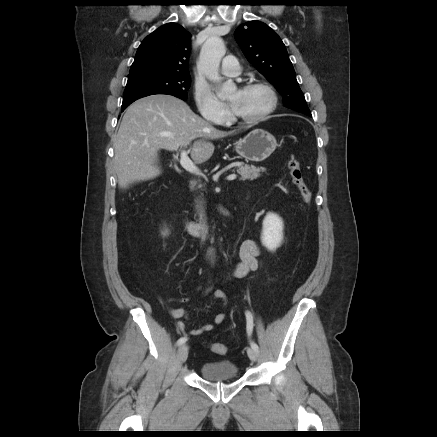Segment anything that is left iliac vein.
Masks as SVG:
<instances>
[{
  "instance_id": "obj_1",
  "label": "left iliac vein",
  "mask_w": 437,
  "mask_h": 437,
  "mask_svg": "<svg viewBox=\"0 0 437 437\" xmlns=\"http://www.w3.org/2000/svg\"><path fill=\"white\" fill-rule=\"evenodd\" d=\"M247 354L252 361H256L258 358V351L253 348H248Z\"/></svg>"
}]
</instances>
